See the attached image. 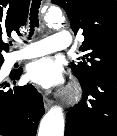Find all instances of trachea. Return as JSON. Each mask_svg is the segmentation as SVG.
I'll list each match as a JSON object with an SVG mask.
<instances>
[{"label":"trachea","mask_w":117,"mask_h":136,"mask_svg":"<svg viewBox=\"0 0 117 136\" xmlns=\"http://www.w3.org/2000/svg\"><path fill=\"white\" fill-rule=\"evenodd\" d=\"M41 5V0H32L31 8H30V33L29 38L33 35L34 28L39 26V8Z\"/></svg>","instance_id":"trachea-1"}]
</instances>
